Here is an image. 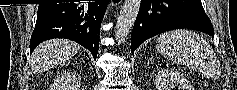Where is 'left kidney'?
<instances>
[{
    "mask_svg": "<svg viewBox=\"0 0 237 90\" xmlns=\"http://www.w3.org/2000/svg\"><path fill=\"white\" fill-rule=\"evenodd\" d=\"M157 90H193L187 78L173 70H160L155 76Z\"/></svg>",
    "mask_w": 237,
    "mask_h": 90,
    "instance_id": "obj_1",
    "label": "left kidney"
}]
</instances>
